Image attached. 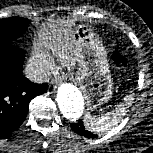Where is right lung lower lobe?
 Masks as SVG:
<instances>
[{
    "instance_id": "1",
    "label": "right lung lower lobe",
    "mask_w": 153,
    "mask_h": 153,
    "mask_svg": "<svg viewBox=\"0 0 153 153\" xmlns=\"http://www.w3.org/2000/svg\"><path fill=\"white\" fill-rule=\"evenodd\" d=\"M24 51L0 42V139L15 131L25 120L30 101L48 90L22 74Z\"/></svg>"
}]
</instances>
